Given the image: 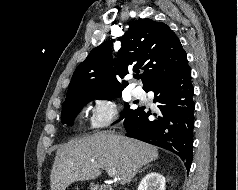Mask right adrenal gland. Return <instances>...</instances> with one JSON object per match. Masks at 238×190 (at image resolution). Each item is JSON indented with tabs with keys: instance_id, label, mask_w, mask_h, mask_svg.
Listing matches in <instances>:
<instances>
[{
	"instance_id": "2a0ac1e0",
	"label": "right adrenal gland",
	"mask_w": 238,
	"mask_h": 190,
	"mask_svg": "<svg viewBox=\"0 0 238 190\" xmlns=\"http://www.w3.org/2000/svg\"><path fill=\"white\" fill-rule=\"evenodd\" d=\"M147 168H148V165L145 166L143 169H140V170H139V173H141L142 171H144V170L147 169Z\"/></svg>"
}]
</instances>
